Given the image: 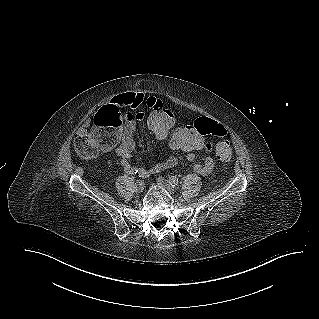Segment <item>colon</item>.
Masks as SVG:
<instances>
[{
	"mask_svg": "<svg viewBox=\"0 0 319 319\" xmlns=\"http://www.w3.org/2000/svg\"><path fill=\"white\" fill-rule=\"evenodd\" d=\"M146 123L152 136L170 151L199 153L205 145L206 135L218 141L216 156L220 161L228 162L232 157V148L225 140L226 128L206 116L196 117L193 126L179 128L176 124V114L172 109L169 113H152L149 110L146 114ZM198 131L205 135H199ZM74 148L85 160L96 158L100 152V149L91 145L88 136L78 137L74 141Z\"/></svg>",
	"mask_w": 319,
	"mask_h": 319,
	"instance_id": "obj_1",
	"label": "colon"
}]
</instances>
